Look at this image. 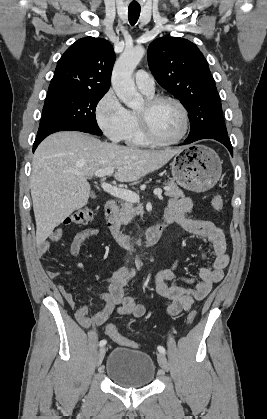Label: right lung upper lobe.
<instances>
[{
  "label": "right lung upper lobe",
  "mask_w": 267,
  "mask_h": 419,
  "mask_svg": "<svg viewBox=\"0 0 267 419\" xmlns=\"http://www.w3.org/2000/svg\"><path fill=\"white\" fill-rule=\"evenodd\" d=\"M115 59L109 41L94 37L77 40L58 61L48 93L107 92Z\"/></svg>",
  "instance_id": "cb5924a9"
}]
</instances>
